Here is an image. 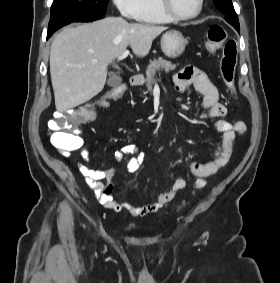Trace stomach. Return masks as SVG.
Returning <instances> with one entry per match:
<instances>
[{"label": "stomach", "instance_id": "stomach-1", "mask_svg": "<svg viewBox=\"0 0 280 283\" xmlns=\"http://www.w3.org/2000/svg\"><path fill=\"white\" fill-rule=\"evenodd\" d=\"M187 40L183 34L177 30H170L163 34L161 38L162 52L169 58H177L185 50Z\"/></svg>", "mask_w": 280, "mask_h": 283}]
</instances>
